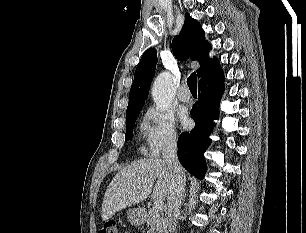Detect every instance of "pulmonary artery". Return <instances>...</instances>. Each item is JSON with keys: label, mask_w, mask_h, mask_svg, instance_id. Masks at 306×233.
<instances>
[{"label": "pulmonary artery", "mask_w": 306, "mask_h": 233, "mask_svg": "<svg viewBox=\"0 0 306 233\" xmlns=\"http://www.w3.org/2000/svg\"><path fill=\"white\" fill-rule=\"evenodd\" d=\"M177 96H178L179 100L182 101V102L190 101L191 95H190V93H189V91L187 89V86L185 84H183L180 87V89H179V91L177 93Z\"/></svg>", "instance_id": "pulmonary-artery-1"}]
</instances>
